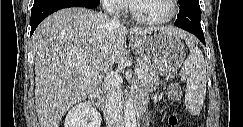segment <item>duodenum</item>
<instances>
[{
  "instance_id": "obj_1",
  "label": "duodenum",
  "mask_w": 243,
  "mask_h": 127,
  "mask_svg": "<svg viewBox=\"0 0 243 127\" xmlns=\"http://www.w3.org/2000/svg\"><path fill=\"white\" fill-rule=\"evenodd\" d=\"M100 89L96 90L94 93H92L89 98L88 102L92 105H98L102 101ZM146 105V97L144 95H140L138 99L136 100V107L139 111V113H143L145 110Z\"/></svg>"
}]
</instances>
